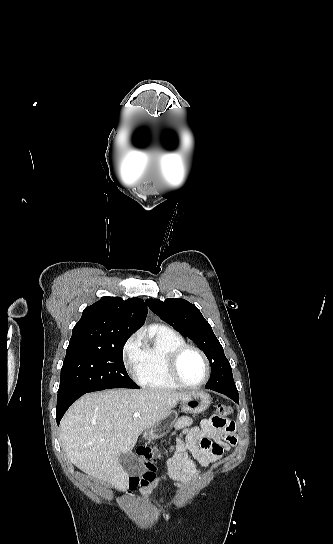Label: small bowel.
Returning <instances> with one entry per match:
<instances>
[{
    "label": "small bowel",
    "mask_w": 333,
    "mask_h": 544,
    "mask_svg": "<svg viewBox=\"0 0 333 544\" xmlns=\"http://www.w3.org/2000/svg\"><path fill=\"white\" fill-rule=\"evenodd\" d=\"M191 423L189 417H183L177 422L176 427L182 429V432L171 447L167 474L154 479L143 490L144 495L152 492L163 478L173 480L178 486L189 484L200 475L194 460L203 466H210L236 444L235 425L222 416L203 419L200 428L191 427Z\"/></svg>",
    "instance_id": "c3829d8e"
}]
</instances>
